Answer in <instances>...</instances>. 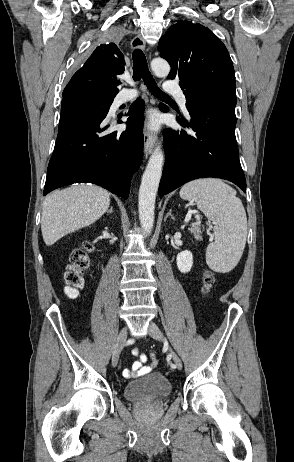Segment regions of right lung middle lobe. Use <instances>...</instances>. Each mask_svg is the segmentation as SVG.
Here are the masks:
<instances>
[{
	"instance_id": "obj_1",
	"label": "right lung middle lobe",
	"mask_w": 294,
	"mask_h": 462,
	"mask_svg": "<svg viewBox=\"0 0 294 462\" xmlns=\"http://www.w3.org/2000/svg\"><path fill=\"white\" fill-rule=\"evenodd\" d=\"M116 32L111 31L106 38H115ZM115 96H102L93 93H74L63 98L60 120L73 116L93 115L99 112L108 113Z\"/></svg>"
}]
</instances>
